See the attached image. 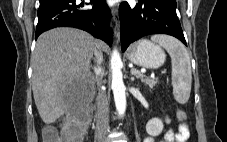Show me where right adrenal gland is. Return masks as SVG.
<instances>
[{"label":"right adrenal gland","mask_w":227,"mask_h":142,"mask_svg":"<svg viewBox=\"0 0 227 142\" xmlns=\"http://www.w3.org/2000/svg\"><path fill=\"white\" fill-rule=\"evenodd\" d=\"M94 54H95V58L93 59L94 63H96V64H101L102 59H103V58H102L101 52L95 50Z\"/></svg>","instance_id":"2a0ac1e0"}]
</instances>
